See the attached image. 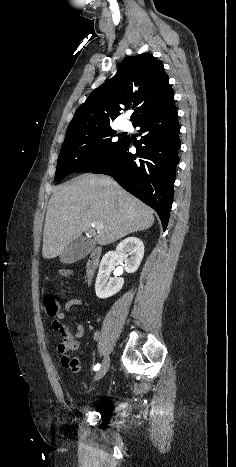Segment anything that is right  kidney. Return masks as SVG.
<instances>
[{
	"instance_id": "right-kidney-1",
	"label": "right kidney",
	"mask_w": 236,
	"mask_h": 467,
	"mask_svg": "<svg viewBox=\"0 0 236 467\" xmlns=\"http://www.w3.org/2000/svg\"><path fill=\"white\" fill-rule=\"evenodd\" d=\"M144 256V244L137 237H128L120 242L115 251L107 252L100 263L99 272L95 283V293L98 298L105 299L119 292L124 284V279L120 276L122 271L114 270L115 277H111V272L119 262L127 273H134Z\"/></svg>"
}]
</instances>
